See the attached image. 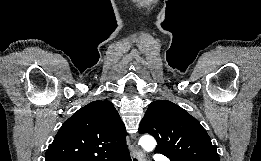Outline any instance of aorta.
Segmentation results:
<instances>
[{
    "mask_svg": "<svg viewBox=\"0 0 261 161\" xmlns=\"http://www.w3.org/2000/svg\"><path fill=\"white\" fill-rule=\"evenodd\" d=\"M139 144L142 146V148L145 150V151H153L155 146H156V141L155 139L150 136V135H144L140 138L139 140Z\"/></svg>",
    "mask_w": 261,
    "mask_h": 161,
    "instance_id": "obj_1",
    "label": "aorta"
}]
</instances>
